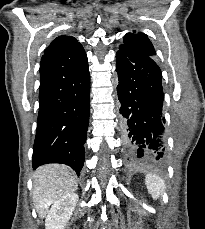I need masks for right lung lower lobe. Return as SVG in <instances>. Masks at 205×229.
<instances>
[{
  "instance_id": "right-lung-lower-lobe-1",
  "label": "right lung lower lobe",
  "mask_w": 205,
  "mask_h": 229,
  "mask_svg": "<svg viewBox=\"0 0 205 229\" xmlns=\"http://www.w3.org/2000/svg\"><path fill=\"white\" fill-rule=\"evenodd\" d=\"M49 47L40 64L39 114L32 167L63 163L77 175L84 164L89 124L90 74L88 61L67 68Z\"/></svg>"
}]
</instances>
